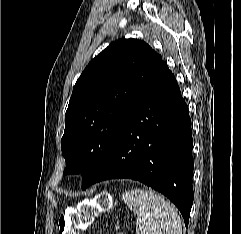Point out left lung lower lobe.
<instances>
[{
    "label": "left lung lower lobe",
    "instance_id": "left-lung-lower-lobe-1",
    "mask_svg": "<svg viewBox=\"0 0 241 234\" xmlns=\"http://www.w3.org/2000/svg\"><path fill=\"white\" fill-rule=\"evenodd\" d=\"M192 148L188 107L163 61L130 108L90 184L138 180L168 197L188 226L193 203Z\"/></svg>",
    "mask_w": 241,
    "mask_h": 234
}]
</instances>
